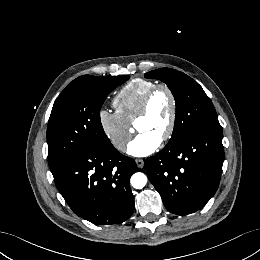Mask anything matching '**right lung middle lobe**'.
<instances>
[{
    "label": "right lung middle lobe",
    "mask_w": 260,
    "mask_h": 260,
    "mask_svg": "<svg viewBox=\"0 0 260 260\" xmlns=\"http://www.w3.org/2000/svg\"><path fill=\"white\" fill-rule=\"evenodd\" d=\"M86 76L71 82L53 105L47 128L50 169L74 153L113 148L100 122V109L129 76Z\"/></svg>",
    "instance_id": "dd1d6c3e"
}]
</instances>
